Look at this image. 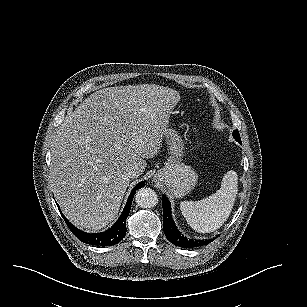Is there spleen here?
I'll return each instance as SVG.
<instances>
[{"instance_id": "3e777b00", "label": "spleen", "mask_w": 307, "mask_h": 307, "mask_svg": "<svg viewBox=\"0 0 307 307\" xmlns=\"http://www.w3.org/2000/svg\"><path fill=\"white\" fill-rule=\"evenodd\" d=\"M238 192V175L228 171L216 193L200 201H182L180 210L188 225L199 233L219 229L229 218Z\"/></svg>"}]
</instances>
